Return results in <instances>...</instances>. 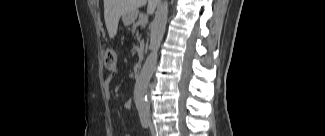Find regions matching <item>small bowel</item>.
<instances>
[{
  "mask_svg": "<svg viewBox=\"0 0 325 136\" xmlns=\"http://www.w3.org/2000/svg\"><path fill=\"white\" fill-rule=\"evenodd\" d=\"M113 78V75H111L110 77L107 78V80L105 81V92L108 96L111 95V90H110V83H111V80ZM131 101H127L124 105V107L126 109H130L131 108Z\"/></svg>",
  "mask_w": 325,
  "mask_h": 136,
  "instance_id": "small-bowel-1",
  "label": "small bowel"
}]
</instances>
